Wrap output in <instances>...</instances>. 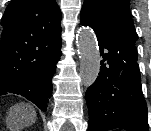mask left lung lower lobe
<instances>
[{"mask_svg":"<svg viewBox=\"0 0 151 131\" xmlns=\"http://www.w3.org/2000/svg\"><path fill=\"white\" fill-rule=\"evenodd\" d=\"M81 23L94 29L102 56L99 77L86 91L88 130L149 131L137 60L104 30L87 21Z\"/></svg>","mask_w":151,"mask_h":131,"instance_id":"left-lung-lower-lobe-1","label":"left lung lower lobe"}]
</instances>
